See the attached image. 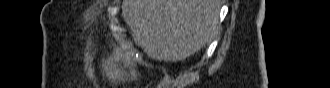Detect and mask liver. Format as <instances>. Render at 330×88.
<instances>
[{"label": "liver", "instance_id": "1", "mask_svg": "<svg viewBox=\"0 0 330 88\" xmlns=\"http://www.w3.org/2000/svg\"><path fill=\"white\" fill-rule=\"evenodd\" d=\"M219 10V0H124L122 17L148 57L177 62L213 39Z\"/></svg>", "mask_w": 330, "mask_h": 88}]
</instances>
